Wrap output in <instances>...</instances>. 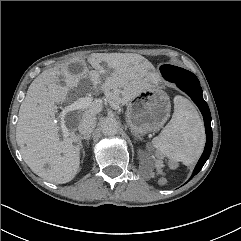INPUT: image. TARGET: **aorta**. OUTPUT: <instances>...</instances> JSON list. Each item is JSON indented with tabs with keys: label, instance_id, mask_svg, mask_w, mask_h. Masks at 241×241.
Wrapping results in <instances>:
<instances>
[{
	"label": "aorta",
	"instance_id": "obj_1",
	"mask_svg": "<svg viewBox=\"0 0 241 241\" xmlns=\"http://www.w3.org/2000/svg\"><path fill=\"white\" fill-rule=\"evenodd\" d=\"M118 129V122L114 118H105L101 121V131L106 136L117 134Z\"/></svg>",
	"mask_w": 241,
	"mask_h": 241
}]
</instances>
